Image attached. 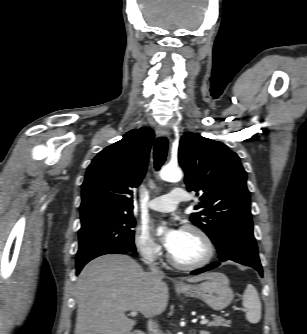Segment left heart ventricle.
<instances>
[{"mask_svg":"<svg viewBox=\"0 0 307 334\" xmlns=\"http://www.w3.org/2000/svg\"><path fill=\"white\" fill-rule=\"evenodd\" d=\"M171 253L182 263H193L204 257L205 246L196 233L183 231L180 243Z\"/></svg>","mask_w":307,"mask_h":334,"instance_id":"b2bd125f","label":"left heart ventricle"}]
</instances>
